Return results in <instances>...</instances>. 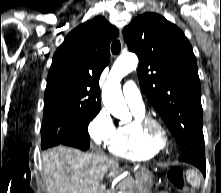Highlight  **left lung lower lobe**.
Wrapping results in <instances>:
<instances>
[{"label": "left lung lower lobe", "instance_id": "1", "mask_svg": "<svg viewBox=\"0 0 221 193\" xmlns=\"http://www.w3.org/2000/svg\"><path fill=\"white\" fill-rule=\"evenodd\" d=\"M179 160L196 166L202 171L203 175H205L206 173L205 144L201 143L192 147L185 148L182 151Z\"/></svg>", "mask_w": 221, "mask_h": 193}]
</instances>
